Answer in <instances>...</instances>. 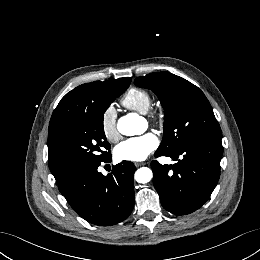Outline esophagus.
<instances>
[{"label": "esophagus", "mask_w": 260, "mask_h": 260, "mask_svg": "<svg viewBox=\"0 0 260 260\" xmlns=\"http://www.w3.org/2000/svg\"><path fill=\"white\" fill-rule=\"evenodd\" d=\"M134 164H135L136 167H140V166L144 165L145 163H143V162H135Z\"/></svg>", "instance_id": "34e87169"}]
</instances>
